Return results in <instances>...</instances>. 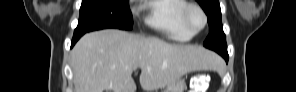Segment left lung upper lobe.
I'll list each match as a JSON object with an SVG mask.
<instances>
[{"label": "left lung upper lobe", "mask_w": 296, "mask_h": 92, "mask_svg": "<svg viewBox=\"0 0 296 92\" xmlns=\"http://www.w3.org/2000/svg\"><path fill=\"white\" fill-rule=\"evenodd\" d=\"M208 16L209 35L204 46L216 52H227L226 36L221 22L219 0H196Z\"/></svg>", "instance_id": "1"}]
</instances>
